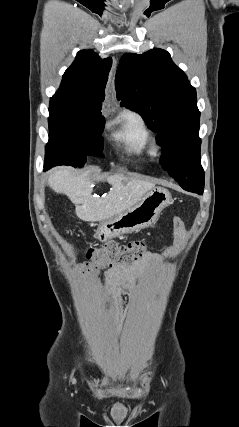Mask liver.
<instances>
[{
  "label": "liver",
  "instance_id": "1",
  "mask_svg": "<svg viewBox=\"0 0 239 427\" xmlns=\"http://www.w3.org/2000/svg\"><path fill=\"white\" fill-rule=\"evenodd\" d=\"M99 171L97 166H91L75 175L71 168H59L51 173L48 185L56 193L68 196L75 204L78 218L87 222H101L130 209L155 186L117 174L107 177L112 186L110 191L95 197L92 195L94 182L90 174Z\"/></svg>",
  "mask_w": 239,
  "mask_h": 427
}]
</instances>
